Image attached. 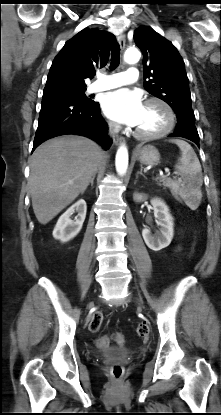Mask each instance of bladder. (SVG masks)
<instances>
[{
    "label": "bladder",
    "mask_w": 221,
    "mask_h": 415,
    "mask_svg": "<svg viewBox=\"0 0 221 415\" xmlns=\"http://www.w3.org/2000/svg\"><path fill=\"white\" fill-rule=\"evenodd\" d=\"M106 353L111 357L121 359V358L128 356L129 350L124 349V348H110V349H106Z\"/></svg>",
    "instance_id": "31cf9c89"
}]
</instances>
